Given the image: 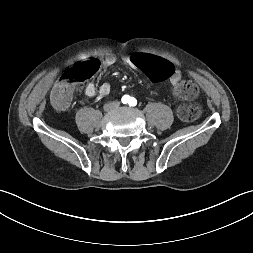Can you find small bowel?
Returning <instances> with one entry per match:
<instances>
[{
  "label": "small bowel",
  "mask_w": 253,
  "mask_h": 253,
  "mask_svg": "<svg viewBox=\"0 0 253 253\" xmlns=\"http://www.w3.org/2000/svg\"><path fill=\"white\" fill-rule=\"evenodd\" d=\"M133 56H134V54L126 56V57H124L123 61L127 65H129L130 67H132L134 69H139L137 64H135L133 61ZM97 60L103 66L110 67V66L114 65V63L116 62V57L113 54L108 53V54H105L101 59H97ZM181 76L182 75H181L180 70L174 68V71L172 74H170L166 77H163V78H168L169 82L173 86H176L180 82ZM110 91H111V86L108 83H103L101 86L97 87L94 83L90 82V83L86 84V86L84 88V93L88 97H94L96 95L106 96L110 93Z\"/></svg>",
  "instance_id": "c3829d8e"
}]
</instances>
